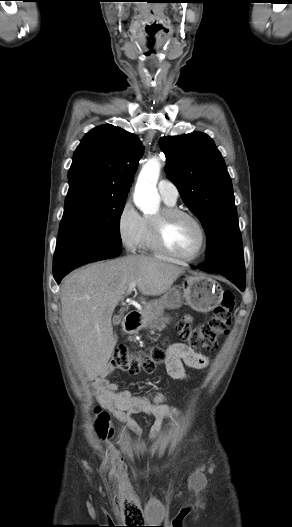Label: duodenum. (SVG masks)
I'll list each match as a JSON object with an SVG mask.
<instances>
[{
	"mask_svg": "<svg viewBox=\"0 0 292 527\" xmlns=\"http://www.w3.org/2000/svg\"><path fill=\"white\" fill-rule=\"evenodd\" d=\"M140 316L138 312H130L127 314L124 320V331L126 333H131L135 331L139 325Z\"/></svg>",
	"mask_w": 292,
	"mask_h": 527,
	"instance_id": "1",
	"label": "duodenum"
}]
</instances>
